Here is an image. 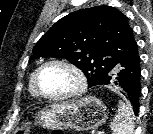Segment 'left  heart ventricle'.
<instances>
[{
	"mask_svg": "<svg viewBox=\"0 0 153 134\" xmlns=\"http://www.w3.org/2000/svg\"><path fill=\"white\" fill-rule=\"evenodd\" d=\"M77 85L75 75L62 66L46 67L39 77V87L49 95H60L73 90Z\"/></svg>",
	"mask_w": 153,
	"mask_h": 134,
	"instance_id": "obj_1",
	"label": "left heart ventricle"
}]
</instances>
